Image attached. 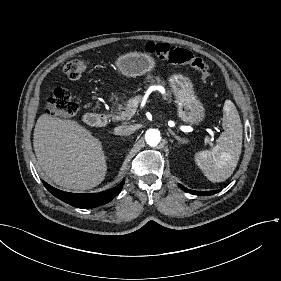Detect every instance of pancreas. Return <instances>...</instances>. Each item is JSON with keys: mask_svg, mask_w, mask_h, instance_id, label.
I'll return each mask as SVG.
<instances>
[{"mask_svg": "<svg viewBox=\"0 0 281 281\" xmlns=\"http://www.w3.org/2000/svg\"><path fill=\"white\" fill-rule=\"evenodd\" d=\"M156 80H157L156 82H158V83L161 82V80L159 78H156ZM161 83H163V82H161ZM127 106H128V102L124 101L123 104H120L118 107V109L120 111V115L119 116L115 115V116H111V117L113 119H115L116 121L122 120L121 118L124 115V111L127 109Z\"/></svg>", "mask_w": 281, "mask_h": 281, "instance_id": "pancreas-1", "label": "pancreas"}]
</instances>
